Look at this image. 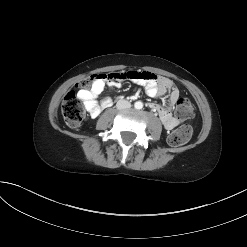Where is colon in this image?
Instances as JSON below:
<instances>
[{"label": "colon", "mask_w": 247, "mask_h": 247, "mask_svg": "<svg viewBox=\"0 0 247 247\" xmlns=\"http://www.w3.org/2000/svg\"><path fill=\"white\" fill-rule=\"evenodd\" d=\"M144 72V71H143ZM101 74L91 75L79 83V87L84 90L91 89L93 85L103 77ZM62 114L66 124L73 129L81 126L86 117V109L82 101L74 92H69L62 103ZM176 117L180 120L191 119L195 115V110L187 98L178 100L175 108ZM192 135V130L188 125H182L168 136V143L171 146H181L188 142Z\"/></svg>", "instance_id": "colon-1"}]
</instances>
